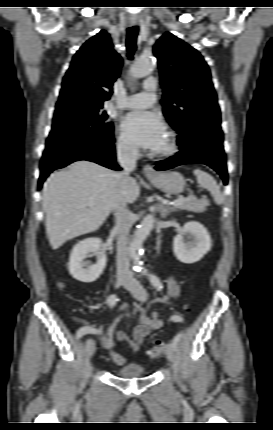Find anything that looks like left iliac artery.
I'll use <instances>...</instances> for the list:
<instances>
[{
	"instance_id": "1",
	"label": "left iliac artery",
	"mask_w": 273,
	"mask_h": 430,
	"mask_svg": "<svg viewBox=\"0 0 273 430\" xmlns=\"http://www.w3.org/2000/svg\"><path fill=\"white\" fill-rule=\"evenodd\" d=\"M146 271H144V273H145ZM149 280H150V282H151V284L157 289V290H161L162 288H163V285H162V283H161V280L159 279V277H157L156 275H153V274H149ZM183 316H172L171 317V320H173V321H183ZM181 326H184V323H181ZM180 333L178 334V335H176L174 338H173V340H172V346H173V348L175 349L176 348V346H177V344H178V342L180 341V338H181V336H182V334L183 333H185V327H181L180 328ZM182 333V334H181Z\"/></svg>"
}]
</instances>
